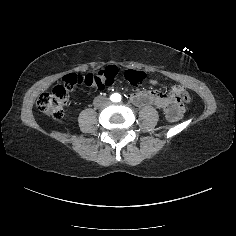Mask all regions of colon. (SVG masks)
<instances>
[{"label": "colon", "instance_id": "1", "mask_svg": "<svg viewBox=\"0 0 236 236\" xmlns=\"http://www.w3.org/2000/svg\"><path fill=\"white\" fill-rule=\"evenodd\" d=\"M117 75L118 69L115 66H108L100 71L85 75L68 74L63 77L62 84L55 86L51 92L39 96L38 109L53 119H61L64 116L70 91L80 85H85L93 90H103L114 83ZM125 78L132 85L138 86L144 81L145 74L139 70L129 69L125 72ZM176 96L181 103L191 101V94L185 88H176Z\"/></svg>", "mask_w": 236, "mask_h": 236}]
</instances>
